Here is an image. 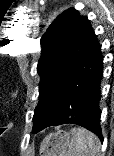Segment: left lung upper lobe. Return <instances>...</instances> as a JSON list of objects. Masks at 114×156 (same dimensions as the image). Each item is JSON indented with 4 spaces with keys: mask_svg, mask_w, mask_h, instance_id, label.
I'll return each instance as SVG.
<instances>
[{
    "mask_svg": "<svg viewBox=\"0 0 114 156\" xmlns=\"http://www.w3.org/2000/svg\"><path fill=\"white\" fill-rule=\"evenodd\" d=\"M92 34L90 21L74 8H69L42 36L41 43L45 48L37 67L41 80L33 131L45 126L59 110L67 83Z\"/></svg>",
    "mask_w": 114,
    "mask_h": 156,
    "instance_id": "5c2ea615",
    "label": "left lung upper lobe"
}]
</instances>
